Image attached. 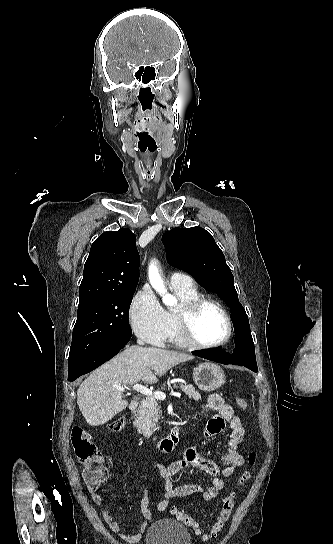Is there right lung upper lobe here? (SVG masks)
Here are the masks:
<instances>
[{
    "label": "right lung upper lobe",
    "instance_id": "1",
    "mask_svg": "<svg viewBox=\"0 0 333 544\" xmlns=\"http://www.w3.org/2000/svg\"><path fill=\"white\" fill-rule=\"evenodd\" d=\"M139 253L130 229L107 231L92 244L84 265L79 304L107 292L136 289Z\"/></svg>",
    "mask_w": 333,
    "mask_h": 544
}]
</instances>
